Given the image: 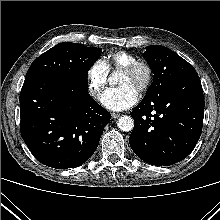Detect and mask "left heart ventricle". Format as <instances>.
Here are the masks:
<instances>
[{"mask_svg":"<svg viewBox=\"0 0 220 220\" xmlns=\"http://www.w3.org/2000/svg\"><path fill=\"white\" fill-rule=\"evenodd\" d=\"M143 78H144L143 72H138L137 74L134 75L123 72L119 80V85L129 84L133 86L136 90H138V87L142 82Z\"/></svg>","mask_w":220,"mask_h":220,"instance_id":"left-heart-ventricle-1","label":"left heart ventricle"}]
</instances>
